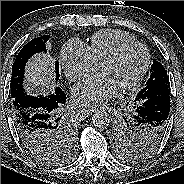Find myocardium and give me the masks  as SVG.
Instances as JSON below:
<instances>
[{
	"instance_id": "obj_1",
	"label": "myocardium",
	"mask_w": 184,
	"mask_h": 184,
	"mask_svg": "<svg viewBox=\"0 0 184 184\" xmlns=\"http://www.w3.org/2000/svg\"><path fill=\"white\" fill-rule=\"evenodd\" d=\"M133 47H138L143 51L145 60H144V64L139 74L131 82L125 84L124 86L120 88L123 91L132 90V89L137 88L141 84L143 79L145 78L148 72V69L150 67V64H151V54L147 46L138 41H131V42L123 43L120 46H118L113 52H111L110 54L105 56L103 59H101V61L98 63V66H100L101 64H104V63L113 62L117 60L126 50L133 48Z\"/></svg>"
}]
</instances>
